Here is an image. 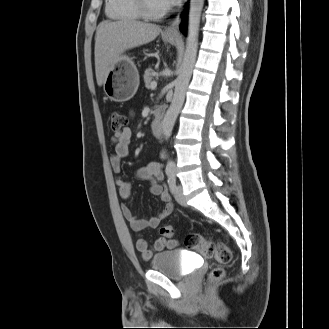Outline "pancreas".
<instances>
[{
  "instance_id": "1",
  "label": "pancreas",
  "mask_w": 329,
  "mask_h": 329,
  "mask_svg": "<svg viewBox=\"0 0 329 329\" xmlns=\"http://www.w3.org/2000/svg\"><path fill=\"white\" fill-rule=\"evenodd\" d=\"M154 75V71L151 67L147 68L144 72V82H145V87L150 88V84L152 82Z\"/></svg>"
}]
</instances>
